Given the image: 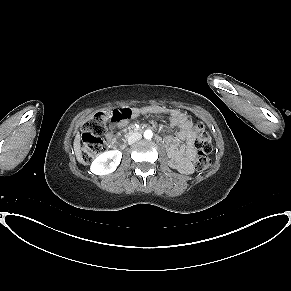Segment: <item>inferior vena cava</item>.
<instances>
[{
  "instance_id": "1",
  "label": "inferior vena cava",
  "mask_w": 291,
  "mask_h": 291,
  "mask_svg": "<svg viewBox=\"0 0 291 291\" xmlns=\"http://www.w3.org/2000/svg\"><path fill=\"white\" fill-rule=\"evenodd\" d=\"M142 135L140 133H133L128 137V143L132 144L136 142L137 140L141 139Z\"/></svg>"
}]
</instances>
